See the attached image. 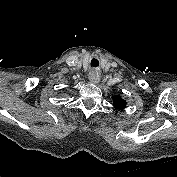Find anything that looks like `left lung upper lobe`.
<instances>
[{"label":"left lung upper lobe","mask_w":177,"mask_h":177,"mask_svg":"<svg viewBox=\"0 0 177 177\" xmlns=\"http://www.w3.org/2000/svg\"><path fill=\"white\" fill-rule=\"evenodd\" d=\"M113 105L116 109H124L126 106V102L122 98L115 96Z\"/></svg>","instance_id":"1"}]
</instances>
